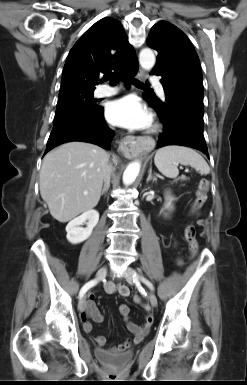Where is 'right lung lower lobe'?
Masks as SVG:
<instances>
[{"instance_id": "right-lung-lower-lobe-1", "label": "right lung lower lobe", "mask_w": 247, "mask_h": 385, "mask_svg": "<svg viewBox=\"0 0 247 385\" xmlns=\"http://www.w3.org/2000/svg\"><path fill=\"white\" fill-rule=\"evenodd\" d=\"M137 70L138 65L122 75L123 80L128 82V78L134 76ZM112 138L113 131L104 123L102 106L92 110L74 111L55 118L45 154L54 147L70 141L90 142L109 149Z\"/></svg>"}]
</instances>
